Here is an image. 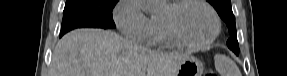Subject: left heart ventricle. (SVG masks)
<instances>
[{
	"instance_id": "b2bd125f",
	"label": "left heart ventricle",
	"mask_w": 287,
	"mask_h": 76,
	"mask_svg": "<svg viewBox=\"0 0 287 76\" xmlns=\"http://www.w3.org/2000/svg\"><path fill=\"white\" fill-rule=\"evenodd\" d=\"M176 23L183 37L193 43L205 41L214 29L211 14L198 4L184 6L177 14Z\"/></svg>"
}]
</instances>
